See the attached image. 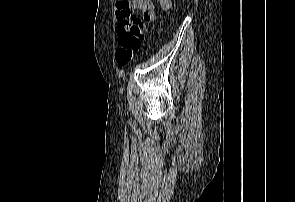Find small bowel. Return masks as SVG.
Listing matches in <instances>:
<instances>
[{"label": "small bowel", "mask_w": 295, "mask_h": 202, "mask_svg": "<svg viewBox=\"0 0 295 202\" xmlns=\"http://www.w3.org/2000/svg\"><path fill=\"white\" fill-rule=\"evenodd\" d=\"M159 7L168 11L172 7V0H158ZM155 6L151 0H117L115 10V31L123 32L130 24H142L136 12L141 11L145 21H152Z\"/></svg>", "instance_id": "c3829d8e"}]
</instances>
